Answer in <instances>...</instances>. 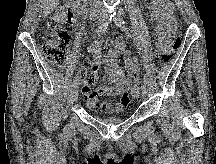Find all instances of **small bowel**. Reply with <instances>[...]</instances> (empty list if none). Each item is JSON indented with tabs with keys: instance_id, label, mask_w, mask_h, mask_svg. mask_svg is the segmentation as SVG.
Here are the masks:
<instances>
[{
	"instance_id": "1",
	"label": "small bowel",
	"mask_w": 216,
	"mask_h": 164,
	"mask_svg": "<svg viewBox=\"0 0 216 164\" xmlns=\"http://www.w3.org/2000/svg\"><path fill=\"white\" fill-rule=\"evenodd\" d=\"M149 11L150 21L155 26V55L160 57L166 46L168 33L176 23L173 3L171 0H152ZM87 51L92 60V69L97 71L98 66L105 63L108 76L107 82H104L97 88L83 85L82 94L86 106L92 111L100 110L105 113L122 112L129 104L127 92L140 72L137 57L131 55L126 50L125 42L122 39L116 40L114 49L110 50L105 57L102 56L98 42L90 44ZM121 56L125 58V68L120 67L118 64V58ZM102 95H117L120 96V99L118 102H100L98 98Z\"/></svg>"
}]
</instances>
